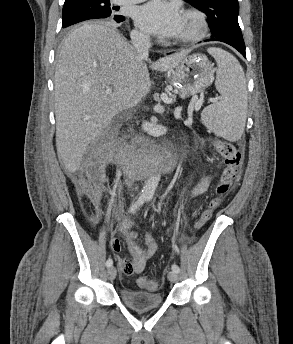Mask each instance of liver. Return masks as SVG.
<instances>
[{"mask_svg": "<svg viewBox=\"0 0 293 344\" xmlns=\"http://www.w3.org/2000/svg\"><path fill=\"white\" fill-rule=\"evenodd\" d=\"M189 51L152 63L169 71ZM129 87L138 103L151 89L144 59L113 27L84 24L63 41L55 70L56 148L64 169L76 172L88 145L125 109ZM112 88L113 92L106 93Z\"/></svg>", "mask_w": 293, "mask_h": 344, "instance_id": "liver-1", "label": "liver"}]
</instances>
